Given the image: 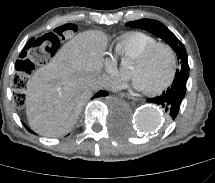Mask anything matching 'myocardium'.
I'll return each instance as SVG.
<instances>
[{
	"mask_svg": "<svg viewBox=\"0 0 215 183\" xmlns=\"http://www.w3.org/2000/svg\"><path fill=\"white\" fill-rule=\"evenodd\" d=\"M159 49H166L169 52L171 60H172V71H171L170 77L168 78V80L165 83H163L162 85H160L157 88H154L151 90H146V92L151 95L159 94V93L163 92L164 90H166L167 88H169L173 84V82L177 76V73H178V60H177L176 53L169 44L159 42V43L145 49L144 51H142L140 54H138L134 58V61L143 62V61L147 60L148 58H150L153 55V53Z\"/></svg>",
	"mask_w": 215,
	"mask_h": 183,
	"instance_id": "obj_1",
	"label": "myocardium"
}]
</instances>
